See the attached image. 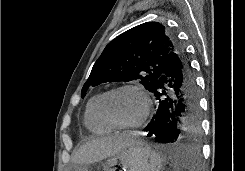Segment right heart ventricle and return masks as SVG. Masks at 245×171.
<instances>
[{
	"label": "right heart ventricle",
	"mask_w": 245,
	"mask_h": 171,
	"mask_svg": "<svg viewBox=\"0 0 245 171\" xmlns=\"http://www.w3.org/2000/svg\"><path fill=\"white\" fill-rule=\"evenodd\" d=\"M101 96L102 93H97L91 97L84 113V124L86 128L96 134L109 133L113 129L101 119L98 113V103Z\"/></svg>",
	"instance_id": "1"
}]
</instances>
